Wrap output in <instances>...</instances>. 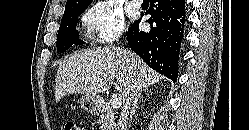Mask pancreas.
I'll list each match as a JSON object with an SVG mask.
<instances>
[{
    "mask_svg": "<svg viewBox=\"0 0 249 130\" xmlns=\"http://www.w3.org/2000/svg\"><path fill=\"white\" fill-rule=\"evenodd\" d=\"M97 123L101 126V130H115L116 124L114 110L111 107L104 108Z\"/></svg>",
    "mask_w": 249,
    "mask_h": 130,
    "instance_id": "pancreas-1",
    "label": "pancreas"
}]
</instances>
